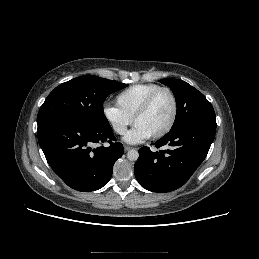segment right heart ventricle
Instances as JSON below:
<instances>
[{
  "label": "right heart ventricle",
  "mask_w": 259,
  "mask_h": 259,
  "mask_svg": "<svg viewBox=\"0 0 259 259\" xmlns=\"http://www.w3.org/2000/svg\"><path fill=\"white\" fill-rule=\"evenodd\" d=\"M159 87L154 83L132 85L116 96V104L121 111L133 119L147 96Z\"/></svg>",
  "instance_id": "1"
}]
</instances>
